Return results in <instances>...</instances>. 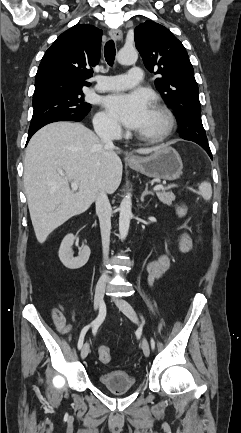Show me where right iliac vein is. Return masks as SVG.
<instances>
[{
    "mask_svg": "<svg viewBox=\"0 0 241 433\" xmlns=\"http://www.w3.org/2000/svg\"><path fill=\"white\" fill-rule=\"evenodd\" d=\"M106 289V283L103 281H100L97 283L96 285V289H95V297H94V306L95 309H98L101 304L103 303V297H104V292ZM90 350V346L89 343H85L82 347L81 350V358L85 359L89 353Z\"/></svg>",
    "mask_w": 241,
    "mask_h": 433,
    "instance_id": "obj_1",
    "label": "right iliac vein"
}]
</instances>
